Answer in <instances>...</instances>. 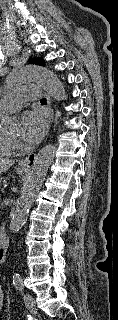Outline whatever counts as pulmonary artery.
Masks as SVG:
<instances>
[{
    "label": "pulmonary artery",
    "instance_id": "e3ab8cb5",
    "mask_svg": "<svg viewBox=\"0 0 118 320\" xmlns=\"http://www.w3.org/2000/svg\"><path fill=\"white\" fill-rule=\"evenodd\" d=\"M39 98V87L35 84L25 85L21 89H13L6 97L0 99V113L18 111L22 103L37 101Z\"/></svg>",
    "mask_w": 118,
    "mask_h": 320
}]
</instances>
